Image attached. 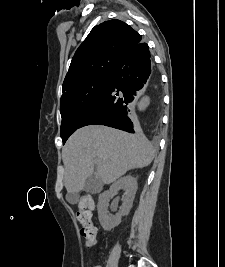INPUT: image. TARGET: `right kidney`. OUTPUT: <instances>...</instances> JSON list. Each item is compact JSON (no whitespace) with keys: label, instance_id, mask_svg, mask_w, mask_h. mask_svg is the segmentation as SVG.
Returning <instances> with one entry per match:
<instances>
[{"label":"right kidney","instance_id":"right-kidney-1","mask_svg":"<svg viewBox=\"0 0 225 267\" xmlns=\"http://www.w3.org/2000/svg\"><path fill=\"white\" fill-rule=\"evenodd\" d=\"M121 189L125 191L122 206L116 215L111 216L107 211L109 199ZM136 191V178L131 175H127L115 181L110 186L109 190L100 194L97 209L99 221L104 230L110 231L114 227L118 226L121 223L122 216L129 214L133 205Z\"/></svg>","mask_w":225,"mask_h":267}]
</instances>
